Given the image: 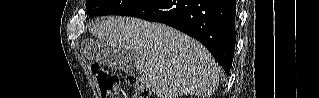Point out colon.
I'll return each mask as SVG.
<instances>
[{
	"label": "colon",
	"mask_w": 319,
	"mask_h": 98,
	"mask_svg": "<svg viewBox=\"0 0 319 98\" xmlns=\"http://www.w3.org/2000/svg\"><path fill=\"white\" fill-rule=\"evenodd\" d=\"M92 73L95 76L101 96L103 98H118V84L119 79L116 75L104 70L100 65H92ZM127 82L134 88L133 98H148L149 90L141 85L136 78L128 77Z\"/></svg>",
	"instance_id": "colon-1"
}]
</instances>
